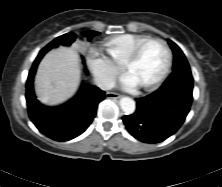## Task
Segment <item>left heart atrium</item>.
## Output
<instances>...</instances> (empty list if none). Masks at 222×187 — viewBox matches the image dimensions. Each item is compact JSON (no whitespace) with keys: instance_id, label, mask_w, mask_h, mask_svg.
Masks as SVG:
<instances>
[{"instance_id":"obj_1","label":"left heart atrium","mask_w":222,"mask_h":187,"mask_svg":"<svg viewBox=\"0 0 222 187\" xmlns=\"http://www.w3.org/2000/svg\"><path fill=\"white\" fill-rule=\"evenodd\" d=\"M138 84L129 76L127 75L123 80V86L125 88H132L137 86Z\"/></svg>"}]
</instances>
